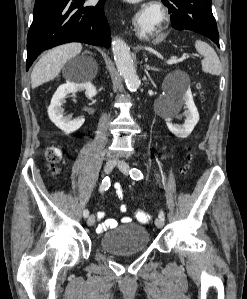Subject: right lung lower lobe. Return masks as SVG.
<instances>
[{
	"label": "right lung lower lobe",
	"mask_w": 247,
	"mask_h": 299,
	"mask_svg": "<svg viewBox=\"0 0 247 299\" xmlns=\"http://www.w3.org/2000/svg\"><path fill=\"white\" fill-rule=\"evenodd\" d=\"M86 0H42L34 6L27 36L26 70L46 49L68 42L110 47L111 33L104 15L106 0L95 6Z\"/></svg>",
	"instance_id": "obj_1"
}]
</instances>
